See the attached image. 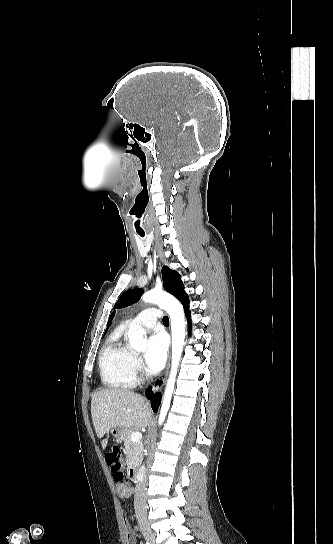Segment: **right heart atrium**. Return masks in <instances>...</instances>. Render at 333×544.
<instances>
[{
    "label": "right heart atrium",
    "mask_w": 333,
    "mask_h": 544,
    "mask_svg": "<svg viewBox=\"0 0 333 544\" xmlns=\"http://www.w3.org/2000/svg\"><path fill=\"white\" fill-rule=\"evenodd\" d=\"M131 370L135 379L140 377L141 374L143 373L141 360L135 353H133L132 359H131Z\"/></svg>",
    "instance_id": "d8ad5b80"
}]
</instances>
